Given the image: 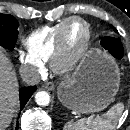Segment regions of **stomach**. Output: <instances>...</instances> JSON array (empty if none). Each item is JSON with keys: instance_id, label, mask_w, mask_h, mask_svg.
Returning a JSON list of instances; mask_svg holds the SVG:
<instances>
[{"instance_id": "obj_1", "label": "stomach", "mask_w": 130, "mask_h": 130, "mask_svg": "<svg viewBox=\"0 0 130 130\" xmlns=\"http://www.w3.org/2000/svg\"><path fill=\"white\" fill-rule=\"evenodd\" d=\"M119 84L120 73L115 60L99 49H92L72 78L58 86L57 94L67 108L78 113H94L114 100Z\"/></svg>"}]
</instances>
